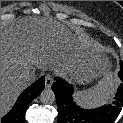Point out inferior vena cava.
Masks as SVG:
<instances>
[{"instance_id":"inferior-vena-cava-1","label":"inferior vena cava","mask_w":123,"mask_h":123,"mask_svg":"<svg viewBox=\"0 0 123 123\" xmlns=\"http://www.w3.org/2000/svg\"><path fill=\"white\" fill-rule=\"evenodd\" d=\"M22 77L26 80V81H30L34 78V75L31 74L29 71H25L22 75Z\"/></svg>"}]
</instances>
